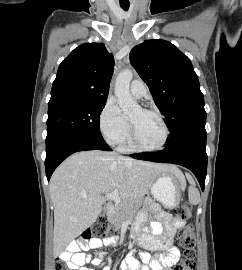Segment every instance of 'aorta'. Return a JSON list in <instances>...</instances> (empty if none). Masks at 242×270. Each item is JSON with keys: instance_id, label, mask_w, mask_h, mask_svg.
Returning <instances> with one entry per match:
<instances>
[{"instance_id": "1", "label": "aorta", "mask_w": 242, "mask_h": 270, "mask_svg": "<svg viewBox=\"0 0 242 270\" xmlns=\"http://www.w3.org/2000/svg\"><path fill=\"white\" fill-rule=\"evenodd\" d=\"M133 78V72L131 69H124L120 72L116 78L114 92L118 99V103L122 111L126 115H130L140 110V106L133 99L130 94L129 87Z\"/></svg>"}]
</instances>
